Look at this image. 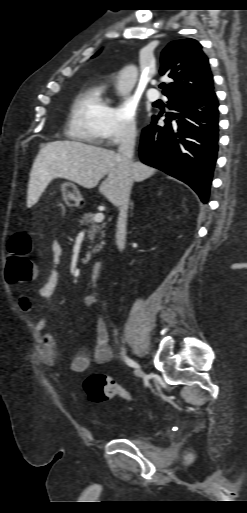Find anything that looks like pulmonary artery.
Listing matches in <instances>:
<instances>
[{"label":"pulmonary artery","mask_w":247,"mask_h":513,"mask_svg":"<svg viewBox=\"0 0 247 513\" xmlns=\"http://www.w3.org/2000/svg\"><path fill=\"white\" fill-rule=\"evenodd\" d=\"M147 97L150 101H156L159 99L160 95L156 89L152 88L147 91Z\"/></svg>","instance_id":"pulmonary-artery-1"}]
</instances>
